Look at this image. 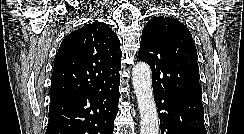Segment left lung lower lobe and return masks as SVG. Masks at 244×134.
Segmentation results:
<instances>
[{
    "instance_id": "obj_1",
    "label": "left lung lower lobe",
    "mask_w": 244,
    "mask_h": 134,
    "mask_svg": "<svg viewBox=\"0 0 244 134\" xmlns=\"http://www.w3.org/2000/svg\"><path fill=\"white\" fill-rule=\"evenodd\" d=\"M160 114L161 134H207L201 98L154 90Z\"/></svg>"
}]
</instances>
